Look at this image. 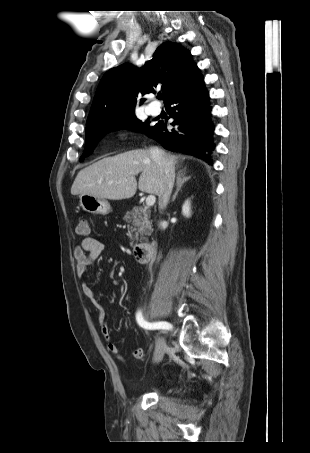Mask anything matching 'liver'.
Returning a JSON list of instances; mask_svg holds the SVG:
<instances>
[{
	"label": "liver",
	"instance_id": "1",
	"mask_svg": "<svg viewBox=\"0 0 310 453\" xmlns=\"http://www.w3.org/2000/svg\"><path fill=\"white\" fill-rule=\"evenodd\" d=\"M173 166L176 157L167 155ZM140 174L137 184L135 176ZM162 171L149 150L137 149L103 158L82 169L71 187L72 195L89 194L102 199L122 200L133 197L138 189L159 196Z\"/></svg>",
	"mask_w": 310,
	"mask_h": 453
}]
</instances>
